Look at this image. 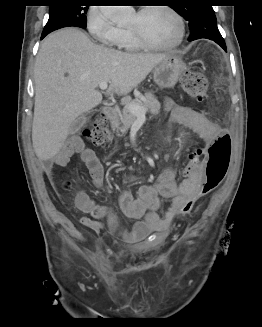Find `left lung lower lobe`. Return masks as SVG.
I'll list each match as a JSON object with an SVG mask.
<instances>
[{"label":"left lung lower lobe","instance_id":"obj_1","mask_svg":"<svg viewBox=\"0 0 262 327\" xmlns=\"http://www.w3.org/2000/svg\"><path fill=\"white\" fill-rule=\"evenodd\" d=\"M200 38H206L215 41L227 52L225 41L218 30L217 24L212 28L190 31V36L188 38L189 41Z\"/></svg>","mask_w":262,"mask_h":327}]
</instances>
